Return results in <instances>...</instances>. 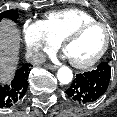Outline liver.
<instances>
[{"label": "liver", "instance_id": "6515ba94", "mask_svg": "<svg viewBox=\"0 0 117 117\" xmlns=\"http://www.w3.org/2000/svg\"><path fill=\"white\" fill-rule=\"evenodd\" d=\"M20 32L10 20L0 22V82L7 81L18 62Z\"/></svg>", "mask_w": 117, "mask_h": 117}]
</instances>
